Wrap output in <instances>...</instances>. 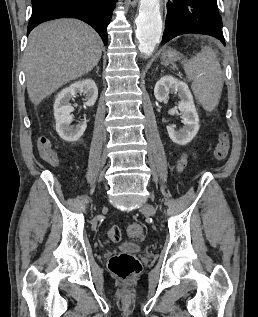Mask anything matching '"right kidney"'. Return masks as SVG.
<instances>
[{
  "label": "right kidney",
  "instance_id": "obj_1",
  "mask_svg": "<svg viewBox=\"0 0 258 317\" xmlns=\"http://www.w3.org/2000/svg\"><path fill=\"white\" fill-rule=\"evenodd\" d=\"M76 92H83L87 100L85 104L92 106V104H95L98 96L97 84L92 78L77 80V82H73V84H70L67 88L60 90L56 96L54 102L56 130L61 138L69 140V142L78 140L87 126V120H85V118H82L79 124H71L73 116L70 112H73L74 106H71L69 100L72 96H75Z\"/></svg>",
  "mask_w": 258,
  "mask_h": 317
}]
</instances>
